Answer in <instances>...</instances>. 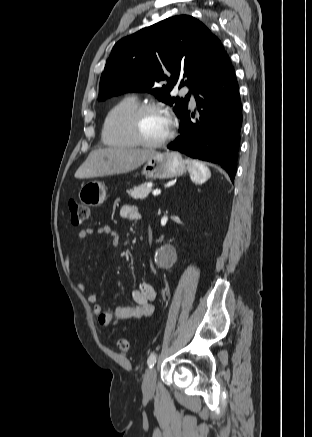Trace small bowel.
<instances>
[{
  "instance_id": "1",
  "label": "small bowel",
  "mask_w": 312,
  "mask_h": 437,
  "mask_svg": "<svg viewBox=\"0 0 312 437\" xmlns=\"http://www.w3.org/2000/svg\"><path fill=\"white\" fill-rule=\"evenodd\" d=\"M120 214L123 218L129 220H139L141 218L139 210L131 204L123 205ZM96 232L99 235L109 236L114 246H119L121 243L119 233L111 226H101ZM93 233L94 230L91 228L84 229L78 234V240L82 241ZM78 288L83 290V284L78 283ZM155 297L154 288L146 281L140 282L133 292L134 306L121 305L114 309H105L98 302L99 295L97 292H90L88 294V300L93 304V313L102 326H113L123 322L140 323L144 319L151 317L155 312L153 304Z\"/></svg>"
}]
</instances>
